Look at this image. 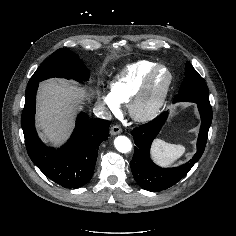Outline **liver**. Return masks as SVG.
<instances>
[{"mask_svg":"<svg viewBox=\"0 0 236 236\" xmlns=\"http://www.w3.org/2000/svg\"><path fill=\"white\" fill-rule=\"evenodd\" d=\"M85 88L60 79H50L40 84L37 96V127L44 141L62 144L73 127L78 104L89 99Z\"/></svg>","mask_w":236,"mask_h":236,"instance_id":"6515ba94","label":"liver"}]
</instances>
